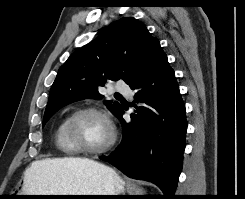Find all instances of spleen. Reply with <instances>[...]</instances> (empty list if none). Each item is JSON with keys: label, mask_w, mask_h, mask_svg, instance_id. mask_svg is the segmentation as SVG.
Here are the masks:
<instances>
[{"label": "spleen", "mask_w": 245, "mask_h": 199, "mask_svg": "<svg viewBox=\"0 0 245 199\" xmlns=\"http://www.w3.org/2000/svg\"><path fill=\"white\" fill-rule=\"evenodd\" d=\"M128 190L130 195H143V189L136 186L135 184H129L128 185Z\"/></svg>", "instance_id": "spleen-1"}]
</instances>
